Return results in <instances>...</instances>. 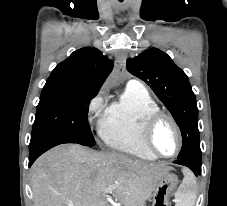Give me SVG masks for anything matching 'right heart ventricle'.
Masks as SVG:
<instances>
[{
  "instance_id": "obj_1",
  "label": "right heart ventricle",
  "mask_w": 227,
  "mask_h": 206,
  "mask_svg": "<svg viewBox=\"0 0 227 206\" xmlns=\"http://www.w3.org/2000/svg\"><path fill=\"white\" fill-rule=\"evenodd\" d=\"M159 106L145 89L126 88L122 96L106 109L99 136L110 148L139 159H157L143 145L142 124Z\"/></svg>"
}]
</instances>
